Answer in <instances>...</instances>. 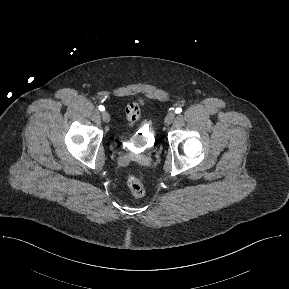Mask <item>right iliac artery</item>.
Segmentation results:
<instances>
[{"mask_svg": "<svg viewBox=\"0 0 289 289\" xmlns=\"http://www.w3.org/2000/svg\"><path fill=\"white\" fill-rule=\"evenodd\" d=\"M98 108H99L100 111H104V107L102 105H99Z\"/></svg>", "mask_w": 289, "mask_h": 289, "instance_id": "right-iliac-artery-1", "label": "right iliac artery"}]
</instances>
